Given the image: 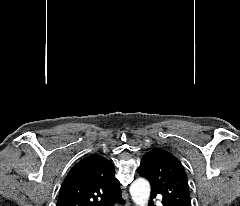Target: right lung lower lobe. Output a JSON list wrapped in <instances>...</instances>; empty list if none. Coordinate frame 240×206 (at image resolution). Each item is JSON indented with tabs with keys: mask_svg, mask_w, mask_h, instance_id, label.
<instances>
[{
	"mask_svg": "<svg viewBox=\"0 0 240 206\" xmlns=\"http://www.w3.org/2000/svg\"><path fill=\"white\" fill-rule=\"evenodd\" d=\"M121 200H123V199L121 197V192H120L118 195L105 201L101 206H112L115 202L121 201Z\"/></svg>",
	"mask_w": 240,
	"mask_h": 206,
	"instance_id": "right-lung-lower-lobe-1",
	"label": "right lung lower lobe"
}]
</instances>
